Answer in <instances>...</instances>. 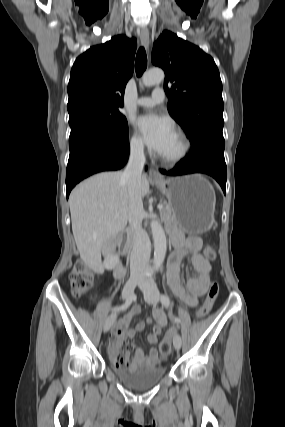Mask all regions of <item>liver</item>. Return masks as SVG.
<instances>
[{"label": "liver", "mask_w": 285, "mask_h": 427, "mask_svg": "<svg viewBox=\"0 0 285 427\" xmlns=\"http://www.w3.org/2000/svg\"><path fill=\"white\" fill-rule=\"evenodd\" d=\"M122 172H104L76 186L69 197L72 231L81 259L92 269L101 267L106 242L127 225L129 191ZM149 192V181L141 176L140 193Z\"/></svg>", "instance_id": "1"}]
</instances>
